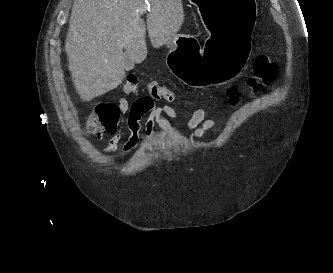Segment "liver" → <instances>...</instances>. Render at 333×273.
I'll list each match as a JSON object with an SVG mask.
<instances>
[{
    "mask_svg": "<svg viewBox=\"0 0 333 273\" xmlns=\"http://www.w3.org/2000/svg\"><path fill=\"white\" fill-rule=\"evenodd\" d=\"M149 4L146 26L142 6ZM184 21L182 0H75L65 51L77 93L83 101L117 88L125 77V49L140 64L152 46L167 44Z\"/></svg>",
    "mask_w": 333,
    "mask_h": 273,
    "instance_id": "1",
    "label": "liver"
}]
</instances>
